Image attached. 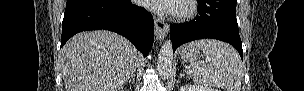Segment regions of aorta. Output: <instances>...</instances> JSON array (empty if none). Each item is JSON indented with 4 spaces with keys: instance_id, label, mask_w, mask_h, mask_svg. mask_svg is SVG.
I'll use <instances>...</instances> for the list:
<instances>
[{
    "instance_id": "aorta-1",
    "label": "aorta",
    "mask_w": 304,
    "mask_h": 91,
    "mask_svg": "<svg viewBox=\"0 0 304 91\" xmlns=\"http://www.w3.org/2000/svg\"><path fill=\"white\" fill-rule=\"evenodd\" d=\"M173 65V47L170 40L162 45L159 55L157 69L161 78L167 79L172 72Z\"/></svg>"
}]
</instances>
